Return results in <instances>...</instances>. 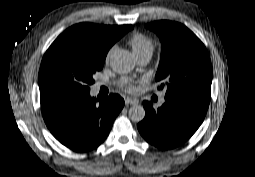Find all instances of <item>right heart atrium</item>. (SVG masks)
<instances>
[{
	"label": "right heart atrium",
	"mask_w": 255,
	"mask_h": 177,
	"mask_svg": "<svg viewBox=\"0 0 255 177\" xmlns=\"http://www.w3.org/2000/svg\"><path fill=\"white\" fill-rule=\"evenodd\" d=\"M114 51V46H112L111 48L108 49L106 55H105V61L107 62L111 56V54L113 53Z\"/></svg>",
	"instance_id": "right-heart-atrium-1"
}]
</instances>
